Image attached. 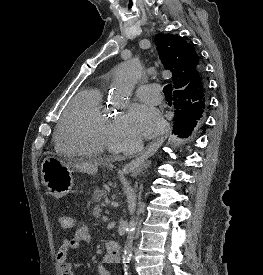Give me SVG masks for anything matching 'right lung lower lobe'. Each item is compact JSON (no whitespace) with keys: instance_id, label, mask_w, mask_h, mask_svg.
<instances>
[{"instance_id":"right-lung-lower-lobe-1","label":"right lung lower lobe","mask_w":263,"mask_h":275,"mask_svg":"<svg viewBox=\"0 0 263 275\" xmlns=\"http://www.w3.org/2000/svg\"><path fill=\"white\" fill-rule=\"evenodd\" d=\"M197 75L204 79L202 67H199ZM185 94L182 92H174L175 115L173 117V133L179 137H188L194 129L200 126L203 114H194L184 107Z\"/></svg>"}]
</instances>
